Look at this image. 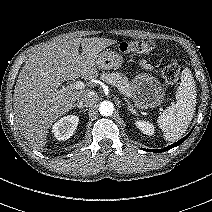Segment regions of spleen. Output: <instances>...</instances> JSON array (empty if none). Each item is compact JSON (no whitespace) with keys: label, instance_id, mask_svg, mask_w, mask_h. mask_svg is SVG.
Masks as SVG:
<instances>
[{"label":"spleen","instance_id":"1","mask_svg":"<svg viewBox=\"0 0 212 212\" xmlns=\"http://www.w3.org/2000/svg\"><path fill=\"white\" fill-rule=\"evenodd\" d=\"M196 107V88L188 68L181 73V83L176 91V103L160 115L157 122L166 141L178 140L191 123Z\"/></svg>","mask_w":212,"mask_h":212}]
</instances>
